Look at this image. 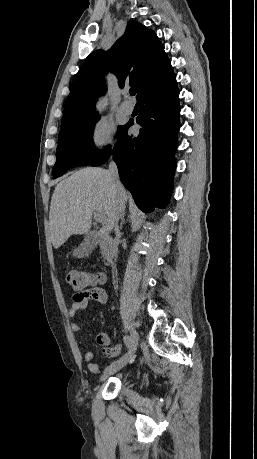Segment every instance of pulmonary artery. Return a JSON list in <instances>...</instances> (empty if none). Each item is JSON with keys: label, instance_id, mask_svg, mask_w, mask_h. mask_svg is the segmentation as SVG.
<instances>
[{"label": "pulmonary artery", "instance_id": "obj_1", "mask_svg": "<svg viewBox=\"0 0 257 459\" xmlns=\"http://www.w3.org/2000/svg\"><path fill=\"white\" fill-rule=\"evenodd\" d=\"M120 108L125 114H131L134 109V105L130 100H125L122 102Z\"/></svg>", "mask_w": 257, "mask_h": 459}]
</instances>
